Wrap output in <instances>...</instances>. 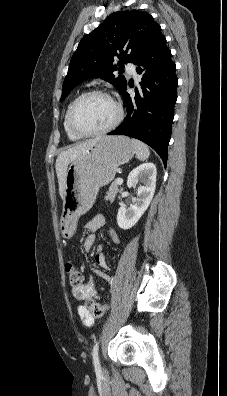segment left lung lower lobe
Masks as SVG:
<instances>
[{
  "mask_svg": "<svg viewBox=\"0 0 227 396\" xmlns=\"http://www.w3.org/2000/svg\"><path fill=\"white\" fill-rule=\"evenodd\" d=\"M134 64L139 66L136 70L142 76V87L139 91L135 89L134 98L126 92L127 85L123 89L128 113L123 123L108 135H126L143 141L166 166L178 79L165 37H160Z\"/></svg>",
  "mask_w": 227,
  "mask_h": 396,
  "instance_id": "left-lung-lower-lobe-1",
  "label": "left lung lower lobe"
}]
</instances>
